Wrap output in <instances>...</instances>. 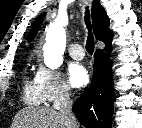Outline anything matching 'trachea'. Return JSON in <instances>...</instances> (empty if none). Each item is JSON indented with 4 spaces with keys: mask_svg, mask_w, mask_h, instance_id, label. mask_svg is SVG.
<instances>
[{
    "mask_svg": "<svg viewBox=\"0 0 142 128\" xmlns=\"http://www.w3.org/2000/svg\"><path fill=\"white\" fill-rule=\"evenodd\" d=\"M85 22H86L87 29H88L86 50L90 55H92L94 52V38H93V34H92V29H91L90 12L88 9L85 11Z\"/></svg>",
    "mask_w": 142,
    "mask_h": 128,
    "instance_id": "obj_1",
    "label": "trachea"
}]
</instances>
